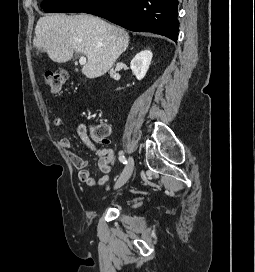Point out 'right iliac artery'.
Instances as JSON below:
<instances>
[{"mask_svg": "<svg viewBox=\"0 0 255 272\" xmlns=\"http://www.w3.org/2000/svg\"><path fill=\"white\" fill-rule=\"evenodd\" d=\"M119 160H120V162H122L123 164H127V159H126V157H125L123 154H121V155L119 156Z\"/></svg>", "mask_w": 255, "mask_h": 272, "instance_id": "right-iliac-artery-1", "label": "right iliac artery"}]
</instances>
